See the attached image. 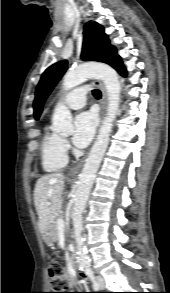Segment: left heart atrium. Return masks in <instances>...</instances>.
Segmentation results:
<instances>
[{
    "instance_id": "obj_1",
    "label": "left heart atrium",
    "mask_w": 170,
    "mask_h": 293,
    "mask_svg": "<svg viewBox=\"0 0 170 293\" xmlns=\"http://www.w3.org/2000/svg\"><path fill=\"white\" fill-rule=\"evenodd\" d=\"M97 125V119L92 112H83L74 120L72 142L76 147L84 148L92 140Z\"/></svg>"
}]
</instances>
